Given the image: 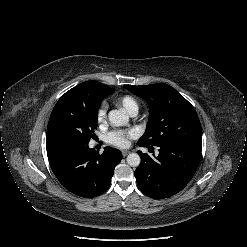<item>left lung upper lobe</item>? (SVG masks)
Instances as JSON below:
<instances>
[{
	"mask_svg": "<svg viewBox=\"0 0 247 247\" xmlns=\"http://www.w3.org/2000/svg\"><path fill=\"white\" fill-rule=\"evenodd\" d=\"M124 87L149 104V120L138 145H202L198 115L193 106L174 88L164 83Z\"/></svg>",
	"mask_w": 247,
	"mask_h": 247,
	"instance_id": "5c2ea615",
	"label": "left lung upper lobe"
}]
</instances>
